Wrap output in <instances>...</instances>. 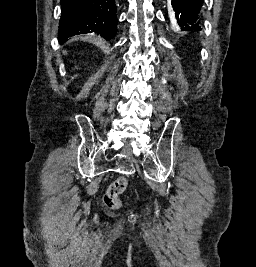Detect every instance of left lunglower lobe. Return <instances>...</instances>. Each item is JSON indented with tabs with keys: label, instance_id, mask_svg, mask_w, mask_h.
Masks as SVG:
<instances>
[{
	"label": "left lung lower lobe",
	"instance_id": "obj_1",
	"mask_svg": "<svg viewBox=\"0 0 256 267\" xmlns=\"http://www.w3.org/2000/svg\"><path fill=\"white\" fill-rule=\"evenodd\" d=\"M202 4L203 0H172V7L182 30L201 29L199 12ZM199 27L200 29H198Z\"/></svg>",
	"mask_w": 256,
	"mask_h": 267
}]
</instances>
